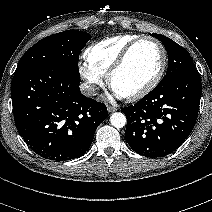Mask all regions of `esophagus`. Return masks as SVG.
Here are the masks:
<instances>
[{
  "instance_id": "1",
  "label": "esophagus",
  "mask_w": 212,
  "mask_h": 212,
  "mask_svg": "<svg viewBox=\"0 0 212 212\" xmlns=\"http://www.w3.org/2000/svg\"><path fill=\"white\" fill-rule=\"evenodd\" d=\"M107 110L109 112H115L117 110V108L116 107H113V106H107Z\"/></svg>"
}]
</instances>
